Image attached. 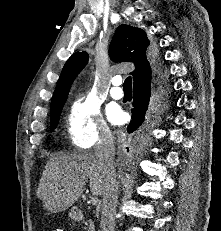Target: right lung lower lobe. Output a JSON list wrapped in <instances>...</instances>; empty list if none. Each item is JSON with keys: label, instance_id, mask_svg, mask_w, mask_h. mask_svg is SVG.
I'll use <instances>...</instances> for the list:
<instances>
[{"label": "right lung lower lobe", "instance_id": "obj_1", "mask_svg": "<svg viewBox=\"0 0 221 231\" xmlns=\"http://www.w3.org/2000/svg\"><path fill=\"white\" fill-rule=\"evenodd\" d=\"M168 73L161 59L156 61V72L151 81L133 88L132 121L127 132L140 129L146 120L147 111L156 103L164 102L168 93Z\"/></svg>", "mask_w": 221, "mask_h": 231}]
</instances>
